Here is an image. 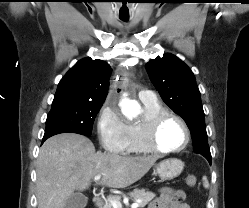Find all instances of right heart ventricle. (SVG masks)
Instances as JSON below:
<instances>
[{"label":"right heart ventricle","mask_w":249,"mask_h":208,"mask_svg":"<svg viewBox=\"0 0 249 208\" xmlns=\"http://www.w3.org/2000/svg\"><path fill=\"white\" fill-rule=\"evenodd\" d=\"M166 109L158 102L150 104L144 103L143 117L138 122L129 123L126 125V146L125 153L142 154L147 153L141 144V135L144 124L152 117L165 112Z\"/></svg>","instance_id":"obj_1"}]
</instances>
